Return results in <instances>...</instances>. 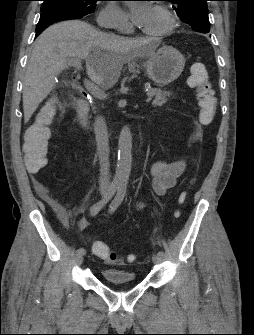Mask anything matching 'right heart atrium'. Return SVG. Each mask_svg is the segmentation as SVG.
Returning a JSON list of instances; mask_svg holds the SVG:
<instances>
[{
    "label": "right heart atrium",
    "mask_w": 254,
    "mask_h": 335,
    "mask_svg": "<svg viewBox=\"0 0 254 335\" xmlns=\"http://www.w3.org/2000/svg\"><path fill=\"white\" fill-rule=\"evenodd\" d=\"M97 22L103 26L112 25L119 31H127L130 27L125 13L114 3L107 4L100 10Z\"/></svg>",
    "instance_id": "d8ad5b80"
}]
</instances>
